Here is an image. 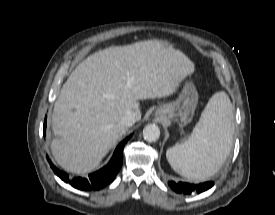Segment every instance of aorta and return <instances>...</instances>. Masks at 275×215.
<instances>
[{
	"instance_id": "762f6f07",
	"label": "aorta",
	"mask_w": 275,
	"mask_h": 215,
	"mask_svg": "<svg viewBox=\"0 0 275 215\" xmlns=\"http://www.w3.org/2000/svg\"><path fill=\"white\" fill-rule=\"evenodd\" d=\"M143 137L148 142H155L160 137V129L155 124H148L143 129Z\"/></svg>"
}]
</instances>
